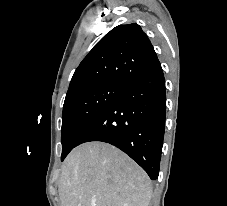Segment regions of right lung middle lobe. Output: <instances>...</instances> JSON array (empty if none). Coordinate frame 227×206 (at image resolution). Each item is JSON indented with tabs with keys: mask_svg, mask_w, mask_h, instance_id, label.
<instances>
[{
	"mask_svg": "<svg viewBox=\"0 0 227 206\" xmlns=\"http://www.w3.org/2000/svg\"><path fill=\"white\" fill-rule=\"evenodd\" d=\"M124 87L123 81L109 80L66 96L61 128L62 161L78 145L85 131L123 93Z\"/></svg>",
	"mask_w": 227,
	"mask_h": 206,
	"instance_id": "1",
	"label": "right lung middle lobe"
}]
</instances>
